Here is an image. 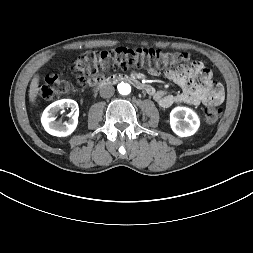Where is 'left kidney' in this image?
I'll return each instance as SVG.
<instances>
[{
  "label": "left kidney",
  "instance_id": "1",
  "mask_svg": "<svg viewBox=\"0 0 253 253\" xmlns=\"http://www.w3.org/2000/svg\"><path fill=\"white\" fill-rule=\"evenodd\" d=\"M200 125L198 115L190 108L178 106L170 113V126L180 137H188L196 133Z\"/></svg>",
  "mask_w": 253,
  "mask_h": 253
}]
</instances>
